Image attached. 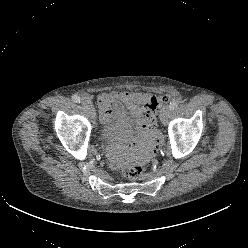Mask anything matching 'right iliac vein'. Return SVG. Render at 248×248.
Returning a JSON list of instances; mask_svg holds the SVG:
<instances>
[{
    "instance_id": "right-iliac-vein-1",
    "label": "right iliac vein",
    "mask_w": 248,
    "mask_h": 248,
    "mask_svg": "<svg viewBox=\"0 0 248 248\" xmlns=\"http://www.w3.org/2000/svg\"><path fill=\"white\" fill-rule=\"evenodd\" d=\"M82 103H83L84 107H86L87 110L90 112L92 117H94L95 116V109H94V106H93L91 100L87 97H84Z\"/></svg>"
}]
</instances>
